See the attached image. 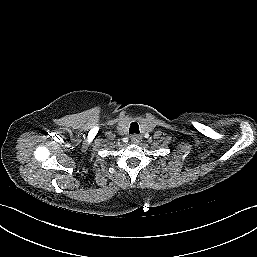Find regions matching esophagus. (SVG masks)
<instances>
[{
	"mask_svg": "<svg viewBox=\"0 0 257 257\" xmlns=\"http://www.w3.org/2000/svg\"><path fill=\"white\" fill-rule=\"evenodd\" d=\"M140 139H141L140 136L137 134H134L131 136V142L133 144H138L140 142Z\"/></svg>",
	"mask_w": 257,
	"mask_h": 257,
	"instance_id": "esophagus-1",
	"label": "esophagus"
}]
</instances>
